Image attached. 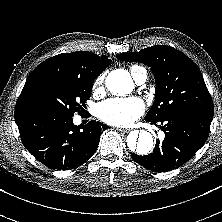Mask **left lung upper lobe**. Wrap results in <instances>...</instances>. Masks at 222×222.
<instances>
[{
  "mask_svg": "<svg viewBox=\"0 0 222 222\" xmlns=\"http://www.w3.org/2000/svg\"><path fill=\"white\" fill-rule=\"evenodd\" d=\"M120 61L151 67L156 82L155 102L145 116L157 122L185 110L214 112L213 101L196 64L173 47L158 45L116 56Z\"/></svg>",
  "mask_w": 222,
  "mask_h": 222,
  "instance_id": "obj_1",
  "label": "left lung upper lobe"
}]
</instances>
